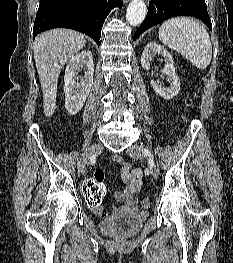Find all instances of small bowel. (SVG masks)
<instances>
[{
  "instance_id": "obj_1",
  "label": "small bowel",
  "mask_w": 233,
  "mask_h": 263,
  "mask_svg": "<svg viewBox=\"0 0 233 263\" xmlns=\"http://www.w3.org/2000/svg\"><path fill=\"white\" fill-rule=\"evenodd\" d=\"M113 161L120 165V175L125 184L124 190L117 191L114 194L115 200L122 204L121 207L116 209V212H119L134 207L137 204L135 194L139 192L142 186L143 172L138 168L132 169L131 165L125 162L120 156H115ZM92 210L101 218L106 216L103 212L101 203L100 205H96V208H92Z\"/></svg>"
}]
</instances>
